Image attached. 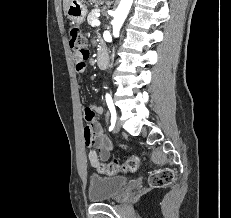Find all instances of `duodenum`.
<instances>
[{
	"label": "duodenum",
	"instance_id": "obj_1",
	"mask_svg": "<svg viewBox=\"0 0 231 218\" xmlns=\"http://www.w3.org/2000/svg\"><path fill=\"white\" fill-rule=\"evenodd\" d=\"M106 58H107L106 51L103 48H101L98 52V55H97V64L99 66H102L104 64Z\"/></svg>",
	"mask_w": 231,
	"mask_h": 218
}]
</instances>
